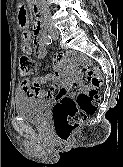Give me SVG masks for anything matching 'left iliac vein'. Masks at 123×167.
Wrapping results in <instances>:
<instances>
[{"label":"left iliac vein","mask_w":123,"mask_h":167,"mask_svg":"<svg viewBox=\"0 0 123 167\" xmlns=\"http://www.w3.org/2000/svg\"><path fill=\"white\" fill-rule=\"evenodd\" d=\"M53 38H54V39H57V38H58V35H54Z\"/></svg>","instance_id":"1"}]
</instances>
